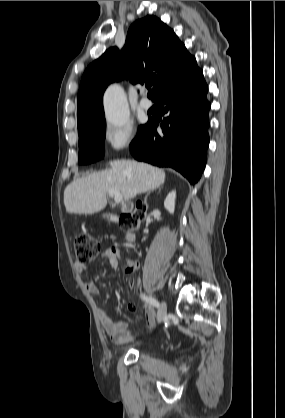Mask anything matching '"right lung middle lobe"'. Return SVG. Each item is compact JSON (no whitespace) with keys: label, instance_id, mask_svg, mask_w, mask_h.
Masks as SVG:
<instances>
[{"label":"right lung middle lobe","instance_id":"obj_1","mask_svg":"<svg viewBox=\"0 0 285 418\" xmlns=\"http://www.w3.org/2000/svg\"><path fill=\"white\" fill-rule=\"evenodd\" d=\"M142 126L139 127L138 131ZM79 132V164L95 162L104 155V139L106 122L104 115L92 121L78 125Z\"/></svg>","mask_w":285,"mask_h":418}]
</instances>
